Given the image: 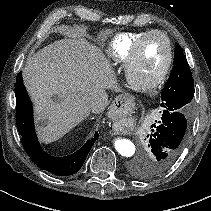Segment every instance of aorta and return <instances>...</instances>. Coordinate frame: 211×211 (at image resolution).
I'll list each match as a JSON object with an SVG mask.
<instances>
[{"mask_svg": "<svg viewBox=\"0 0 211 211\" xmlns=\"http://www.w3.org/2000/svg\"><path fill=\"white\" fill-rule=\"evenodd\" d=\"M117 152L124 157H131L135 154V145L128 139L118 138L114 143Z\"/></svg>", "mask_w": 211, "mask_h": 211, "instance_id": "1", "label": "aorta"}]
</instances>
